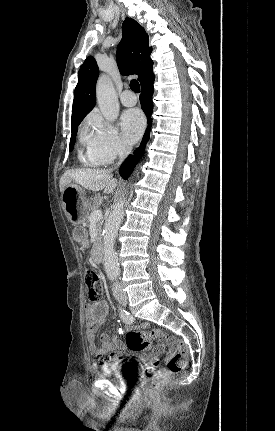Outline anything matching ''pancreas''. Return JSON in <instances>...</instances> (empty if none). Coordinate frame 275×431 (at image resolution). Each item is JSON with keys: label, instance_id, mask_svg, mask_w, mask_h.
Here are the masks:
<instances>
[{"label": "pancreas", "instance_id": "pancreas-1", "mask_svg": "<svg viewBox=\"0 0 275 431\" xmlns=\"http://www.w3.org/2000/svg\"><path fill=\"white\" fill-rule=\"evenodd\" d=\"M101 204H102V197L100 195H96L93 199L92 205L89 208L88 215H87V222H90L89 213H92L93 211L97 210L101 206ZM101 226H102V222L99 221L97 224V235H98L97 240L101 234Z\"/></svg>", "mask_w": 275, "mask_h": 431}]
</instances>
